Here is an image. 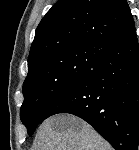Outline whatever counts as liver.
I'll use <instances>...</instances> for the list:
<instances>
[{
  "instance_id": "1",
  "label": "liver",
  "mask_w": 139,
  "mask_h": 150,
  "mask_svg": "<svg viewBox=\"0 0 139 150\" xmlns=\"http://www.w3.org/2000/svg\"><path fill=\"white\" fill-rule=\"evenodd\" d=\"M36 150H113L89 124L72 115L45 120L36 135Z\"/></svg>"
}]
</instances>
